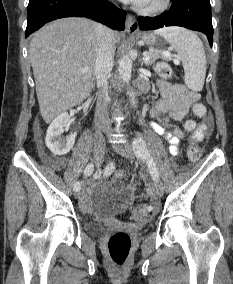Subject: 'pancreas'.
Returning <instances> with one entry per match:
<instances>
[{
	"label": "pancreas",
	"mask_w": 233,
	"mask_h": 284,
	"mask_svg": "<svg viewBox=\"0 0 233 284\" xmlns=\"http://www.w3.org/2000/svg\"><path fill=\"white\" fill-rule=\"evenodd\" d=\"M163 50H152L148 52V55L150 56V60L145 63L146 66H150L155 63V61L159 58L165 59V56L163 55Z\"/></svg>",
	"instance_id": "pancreas-1"
}]
</instances>
